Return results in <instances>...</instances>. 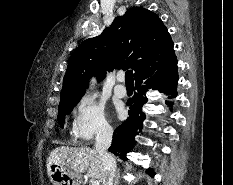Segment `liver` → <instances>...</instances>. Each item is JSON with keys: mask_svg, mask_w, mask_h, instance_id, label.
<instances>
[{"mask_svg": "<svg viewBox=\"0 0 233 185\" xmlns=\"http://www.w3.org/2000/svg\"><path fill=\"white\" fill-rule=\"evenodd\" d=\"M52 164H58L81 174L87 171L89 177L101 180L102 160L95 149L88 147L69 148L61 146L55 148L47 158V171L50 176Z\"/></svg>", "mask_w": 233, "mask_h": 185, "instance_id": "liver-1", "label": "liver"}]
</instances>
